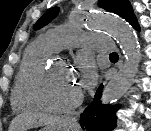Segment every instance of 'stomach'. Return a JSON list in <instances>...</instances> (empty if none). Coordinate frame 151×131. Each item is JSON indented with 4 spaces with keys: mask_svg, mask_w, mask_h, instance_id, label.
Instances as JSON below:
<instances>
[{
    "mask_svg": "<svg viewBox=\"0 0 151 131\" xmlns=\"http://www.w3.org/2000/svg\"><path fill=\"white\" fill-rule=\"evenodd\" d=\"M41 131H76V126L68 120H60L55 124L46 126Z\"/></svg>",
    "mask_w": 151,
    "mask_h": 131,
    "instance_id": "0dacf381",
    "label": "stomach"
}]
</instances>
